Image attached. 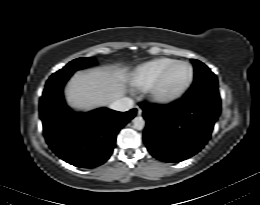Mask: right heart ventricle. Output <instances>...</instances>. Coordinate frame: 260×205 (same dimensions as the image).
Instances as JSON below:
<instances>
[{"label": "right heart ventricle", "mask_w": 260, "mask_h": 205, "mask_svg": "<svg viewBox=\"0 0 260 205\" xmlns=\"http://www.w3.org/2000/svg\"><path fill=\"white\" fill-rule=\"evenodd\" d=\"M175 61L177 60L173 58L161 57L141 64L132 74V84L141 89L148 88L162 71Z\"/></svg>", "instance_id": "obj_1"}]
</instances>
